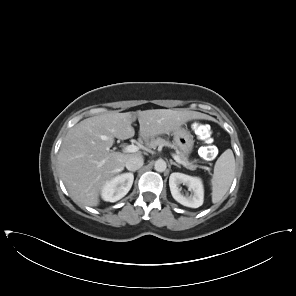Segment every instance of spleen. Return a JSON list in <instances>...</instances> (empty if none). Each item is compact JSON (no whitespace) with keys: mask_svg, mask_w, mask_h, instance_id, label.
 <instances>
[{"mask_svg":"<svg viewBox=\"0 0 296 296\" xmlns=\"http://www.w3.org/2000/svg\"><path fill=\"white\" fill-rule=\"evenodd\" d=\"M235 173V158L231 149H227L217 159L211 179L212 202L218 203L230 188Z\"/></svg>","mask_w":296,"mask_h":296,"instance_id":"1","label":"spleen"}]
</instances>
